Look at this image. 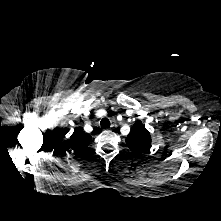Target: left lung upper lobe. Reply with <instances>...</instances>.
<instances>
[{"mask_svg": "<svg viewBox=\"0 0 221 221\" xmlns=\"http://www.w3.org/2000/svg\"><path fill=\"white\" fill-rule=\"evenodd\" d=\"M126 143L130 150L135 154H140L150 149V133L146 130L141 121H137L133 125L126 138Z\"/></svg>", "mask_w": 221, "mask_h": 221, "instance_id": "left-lung-upper-lobe-1", "label": "left lung upper lobe"}]
</instances>
